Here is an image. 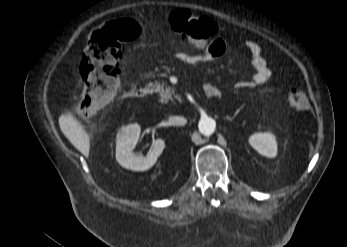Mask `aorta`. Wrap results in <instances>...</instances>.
<instances>
[{
  "mask_svg": "<svg viewBox=\"0 0 347 247\" xmlns=\"http://www.w3.org/2000/svg\"><path fill=\"white\" fill-rule=\"evenodd\" d=\"M216 122L212 118H202L199 122V130L205 136H210L214 133Z\"/></svg>",
  "mask_w": 347,
  "mask_h": 247,
  "instance_id": "obj_1",
  "label": "aorta"
}]
</instances>
